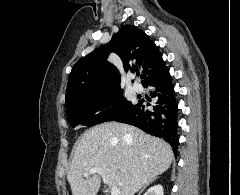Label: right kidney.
<instances>
[{"label": "right kidney", "mask_w": 240, "mask_h": 195, "mask_svg": "<svg viewBox=\"0 0 240 195\" xmlns=\"http://www.w3.org/2000/svg\"><path fill=\"white\" fill-rule=\"evenodd\" d=\"M144 195H164L163 185H160V183H158V185L149 187Z\"/></svg>", "instance_id": "ca27d5eb"}]
</instances>
